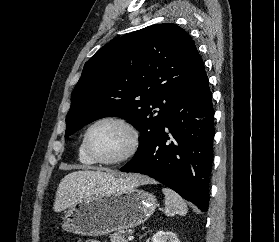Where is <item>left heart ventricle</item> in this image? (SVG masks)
<instances>
[{
    "label": "left heart ventricle",
    "instance_id": "1",
    "mask_svg": "<svg viewBox=\"0 0 279 242\" xmlns=\"http://www.w3.org/2000/svg\"><path fill=\"white\" fill-rule=\"evenodd\" d=\"M128 131L116 123H102L96 126L89 138L92 153L101 159H112L122 155L128 148Z\"/></svg>",
    "mask_w": 279,
    "mask_h": 242
}]
</instances>
